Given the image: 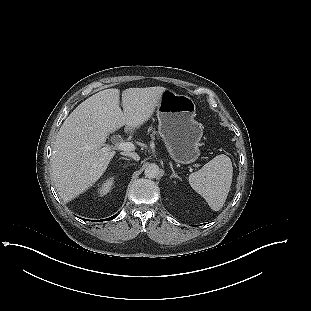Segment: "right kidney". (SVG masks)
<instances>
[{"instance_id":"right-kidney-1","label":"right kidney","mask_w":311,"mask_h":311,"mask_svg":"<svg viewBox=\"0 0 311 311\" xmlns=\"http://www.w3.org/2000/svg\"><path fill=\"white\" fill-rule=\"evenodd\" d=\"M112 180L111 181H107L106 183H104V185L102 186V188L100 189V194L103 196L105 194H107L112 186Z\"/></svg>"}]
</instances>
